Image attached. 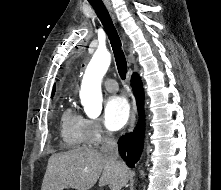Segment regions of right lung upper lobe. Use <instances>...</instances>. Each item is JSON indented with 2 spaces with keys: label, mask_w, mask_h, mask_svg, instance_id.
Listing matches in <instances>:
<instances>
[{
  "label": "right lung upper lobe",
  "mask_w": 221,
  "mask_h": 190,
  "mask_svg": "<svg viewBox=\"0 0 221 190\" xmlns=\"http://www.w3.org/2000/svg\"><path fill=\"white\" fill-rule=\"evenodd\" d=\"M54 93H55V85H54V87H53L52 96L54 95Z\"/></svg>",
  "instance_id": "1"
}]
</instances>
